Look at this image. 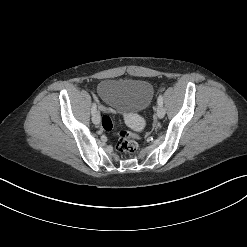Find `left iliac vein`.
Wrapping results in <instances>:
<instances>
[{
    "instance_id": "obj_1",
    "label": "left iliac vein",
    "mask_w": 247,
    "mask_h": 247,
    "mask_svg": "<svg viewBox=\"0 0 247 247\" xmlns=\"http://www.w3.org/2000/svg\"><path fill=\"white\" fill-rule=\"evenodd\" d=\"M157 116H158V118H163L164 116H165V109H164V107L163 106H161V105H158V107H157Z\"/></svg>"
}]
</instances>
